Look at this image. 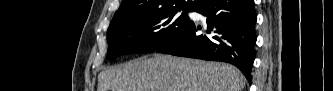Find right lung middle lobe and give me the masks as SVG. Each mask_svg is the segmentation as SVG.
Instances as JSON below:
<instances>
[{
	"mask_svg": "<svg viewBox=\"0 0 333 91\" xmlns=\"http://www.w3.org/2000/svg\"><path fill=\"white\" fill-rule=\"evenodd\" d=\"M177 12L165 11L111 23L107 31L108 58L114 60L124 54L152 52L163 46L190 22L185 13L177 16Z\"/></svg>",
	"mask_w": 333,
	"mask_h": 91,
	"instance_id": "dd1d6c3e",
	"label": "right lung middle lobe"
}]
</instances>
